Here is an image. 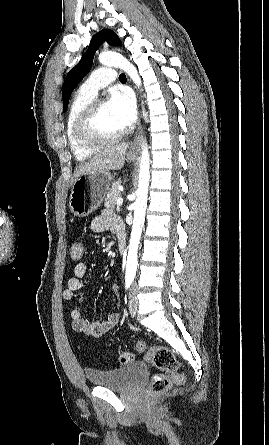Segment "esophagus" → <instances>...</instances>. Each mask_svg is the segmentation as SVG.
Here are the masks:
<instances>
[{
    "mask_svg": "<svg viewBox=\"0 0 269 445\" xmlns=\"http://www.w3.org/2000/svg\"><path fill=\"white\" fill-rule=\"evenodd\" d=\"M141 135H142L141 127H139V129H138V131H137V133H136V135L134 137L132 146H131L132 150H135V149L139 148L140 143H141Z\"/></svg>",
    "mask_w": 269,
    "mask_h": 445,
    "instance_id": "34e87169",
    "label": "esophagus"
}]
</instances>
